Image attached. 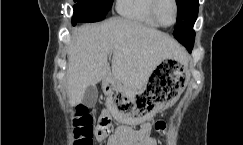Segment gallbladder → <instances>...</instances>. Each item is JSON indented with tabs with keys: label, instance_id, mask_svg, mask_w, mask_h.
Masks as SVG:
<instances>
[{
	"label": "gallbladder",
	"instance_id": "obj_1",
	"mask_svg": "<svg viewBox=\"0 0 243 145\" xmlns=\"http://www.w3.org/2000/svg\"><path fill=\"white\" fill-rule=\"evenodd\" d=\"M98 98V91L95 85H90L86 88L83 103L88 106L92 107L95 105Z\"/></svg>",
	"mask_w": 243,
	"mask_h": 145
}]
</instances>
